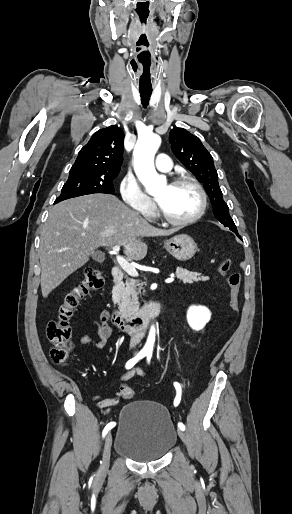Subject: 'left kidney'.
I'll return each mask as SVG.
<instances>
[{
	"instance_id": "obj_1",
	"label": "left kidney",
	"mask_w": 292,
	"mask_h": 514,
	"mask_svg": "<svg viewBox=\"0 0 292 514\" xmlns=\"http://www.w3.org/2000/svg\"><path fill=\"white\" fill-rule=\"evenodd\" d=\"M211 318V312L205 306H190L187 322L192 330H203Z\"/></svg>"
}]
</instances>
